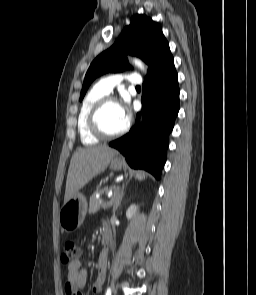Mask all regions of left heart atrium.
Returning <instances> with one entry per match:
<instances>
[{"label": "left heart atrium", "instance_id": "left-heart-atrium-1", "mask_svg": "<svg viewBox=\"0 0 256 295\" xmlns=\"http://www.w3.org/2000/svg\"><path fill=\"white\" fill-rule=\"evenodd\" d=\"M120 114L127 120L128 113H129V106H128V100L124 98V100L120 103H117Z\"/></svg>", "mask_w": 256, "mask_h": 295}]
</instances>
